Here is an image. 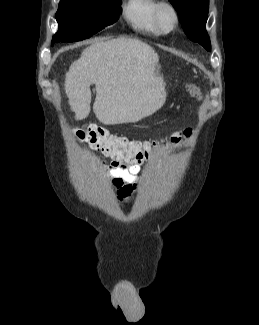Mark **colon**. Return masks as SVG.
I'll return each mask as SVG.
<instances>
[{
	"label": "colon",
	"mask_w": 259,
	"mask_h": 325,
	"mask_svg": "<svg viewBox=\"0 0 259 325\" xmlns=\"http://www.w3.org/2000/svg\"><path fill=\"white\" fill-rule=\"evenodd\" d=\"M189 93L201 98V90L194 84L187 86ZM192 132L189 129L173 134L168 140L139 141L129 140L122 136L111 134L107 129L98 125H89L75 130V135L88 142L94 149L113 160H122L129 163H139L148 159L155 150L162 147L177 145L189 138Z\"/></svg>",
	"instance_id": "colon-1"
}]
</instances>
